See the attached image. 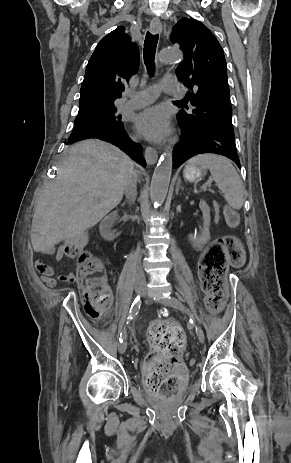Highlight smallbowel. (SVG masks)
Listing matches in <instances>:
<instances>
[{
  "label": "small bowel",
  "mask_w": 291,
  "mask_h": 463,
  "mask_svg": "<svg viewBox=\"0 0 291 463\" xmlns=\"http://www.w3.org/2000/svg\"><path fill=\"white\" fill-rule=\"evenodd\" d=\"M41 252L50 254L53 252V250L49 247H39L38 248ZM55 258L57 262H61L64 258V251L63 247L60 246L57 251L55 252ZM36 267L38 271L41 273V280L47 285L49 288H54L57 285V282H61L64 284H71L75 281V276L72 273H66V274H57L55 270L49 266L46 265L43 261L38 260L36 261ZM45 267L46 269H44ZM106 282V277H104V284ZM105 288L109 290L108 286L105 285ZM93 319H98V317H92Z\"/></svg>",
  "instance_id": "small-bowel-1"
}]
</instances>
